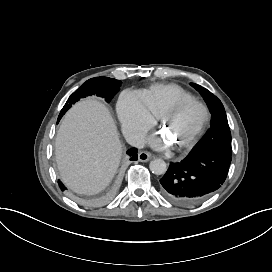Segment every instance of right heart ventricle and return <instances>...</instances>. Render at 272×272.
Returning <instances> with one entry per match:
<instances>
[{
  "label": "right heart ventricle",
  "instance_id": "1",
  "mask_svg": "<svg viewBox=\"0 0 272 272\" xmlns=\"http://www.w3.org/2000/svg\"><path fill=\"white\" fill-rule=\"evenodd\" d=\"M150 111L159 117L164 108L175 99L191 100L193 96L175 84L154 85L141 92Z\"/></svg>",
  "mask_w": 272,
  "mask_h": 272
}]
</instances>
